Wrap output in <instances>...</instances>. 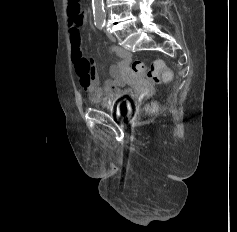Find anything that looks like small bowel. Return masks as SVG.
Segmentation results:
<instances>
[{
    "label": "small bowel",
    "instance_id": "small-bowel-1",
    "mask_svg": "<svg viewBox=\"0 0 237 232\" xmlns=\"http://www.w3.org/2000/svg\"><path fill=\"white\" fill-rule=\"evenodd\" d=\"M86 22V16L70 17L68 22L71 56L75 70L80 79L82 88L88 93L94 102L105 101L112 104L121 99L124 95L125 83L123 76L129 71L130 53L119 46H112L111 52L117 57V60L110 65L108 79L100 85L98 71L92 60L87 59L81 48L80 29Z\"/></svg>",
    "mask_w": 237,
    "mask_h": 232
}]
</instances>
